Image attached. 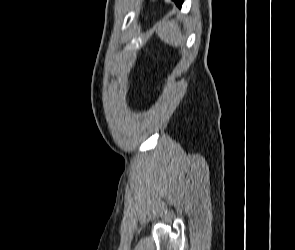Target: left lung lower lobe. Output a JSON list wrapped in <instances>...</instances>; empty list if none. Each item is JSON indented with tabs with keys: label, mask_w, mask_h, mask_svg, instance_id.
Returning a JSON list of instances; mask_svg holds the SVG:
<instances>
[{
	"label": "left lung lower lobe",
	"mask_w": 295,
	"mask_h": 250,
	"mask_svg": "<svg viewBox=\"0 0 295 250\" xmlns=\"http://www.w3.org/2000/svg\"><path fill=\"white\" fill-rule=\"evenodd\" d=\"M178 7H181L183 0H173Z\"/></svg>",
	"instance_id": "left-lung-lower-lobe-1"
}]
</instances>
